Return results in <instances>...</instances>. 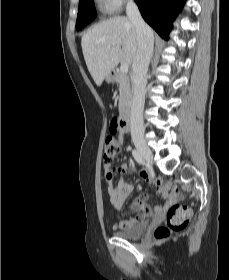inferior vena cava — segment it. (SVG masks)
Here are the masks:
<instances>
[{
    "label": "inferior vena cava",
    "instance_id": "obj_1",
    "mask_svg": "<svg viewBox=\"0 0 229 280\" xmlns=\"http://www.w3.org/2000/svg\"><path fill=\"white\" fill-rule=\"evenodd\" d=\"M129 20L136 28L138 49L132 64L133 71V100L131 107L130 131L132 136H143V109L145 102V88L147 84V70L152 57L154 37L151 28L144 22L134 1L130 0L126 6Z\"/></svg>",
    "mask_w": 229,
    "mask_h": 280
}]
</instances>
